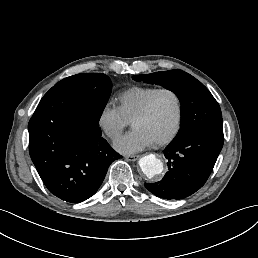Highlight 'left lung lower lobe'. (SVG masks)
Returning <instances> with one entry per match:
<instances>
[{"label":"left lung lower lobe","instance_id":"left-lung-lower-lobe-1","mask_svg":"<svg viewBox=\"0 0 258 258\" xmlns=\"http://www.w3.org/2000/svg\"><path fill=\"white\" fill-rule=\"evenodd\" d=\"M223 132L207 130L179 143L170 144L164 155L169 171L157 183H145L155 196L183 199L199 190L211 174L223 146Z\"/></svg>","mask_w":258,"mask_h":258}]
</instances>
